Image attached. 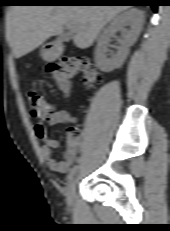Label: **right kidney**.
I'll list each match as a JSON object with an SVG mask.
<instances>
[{"mask_svg": "<svg viewBox=\"0 0 170 231\" xmlns=\"http://www.w3.org/2000/svg\"><path fill=\"white\" fill-rule=\"evenodd\" d=\"M144 23V13L136 8H131L116 16L98 38L95 51V62L97 67L103 72H111L122 66L126 60L129 48L136 42ZM128 25L130 29L122 37L121 45L116 53L108 56V46L111 37L115 32Z\"/></svg>", "mask_w": 170, "mask_h": 231, "instance_id": "1", "label": "right kidney"}]
</instances>
